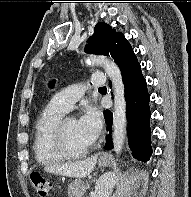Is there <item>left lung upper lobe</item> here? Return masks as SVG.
Here are the masks:
<instances>
[{
  "label": "left lung upper lobe",
  "mask_w": 191,
  "mask_h": 197,
  "mask_svg": "<svg viewBox=\"0 0 191 197\" xmlns=\"http://www.w3.org/2000/svg\"><path fill=\"white\" fill-rule=\"evenodd\" d=\"M85 51L110 55L120 67L121 72L140 66L125 36L112 29L107 23L101 22L95 26L94 34L90 37V44L86 46ZM52 86L53 82L50 83V87Z\"/></svg>",
  "instance_id": "1"
}]
</instances>
